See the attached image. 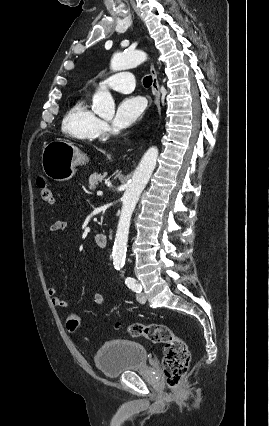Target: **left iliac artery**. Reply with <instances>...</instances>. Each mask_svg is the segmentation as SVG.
Returning a JSON list of instances; mask_svg holds the SVG:
<instances>
[{
	"mask_svg": "<svg viewBox=\"0 0 269 426\" xmlns=\"http://www.w3.org/2000/svg\"><path fill=\"white\" fill-rule=\"evenodd\" d=\"M126 285L132 289L135 292H141L142 291V287L136 283V280L134 278H127L125 281Z\"/></svg>",
	"mask_w": 269,
	"mask_h": 426,
	"instance_id": "left-iliac-artery-1",
	"label": "left iliac artery"
}]
</instances>
